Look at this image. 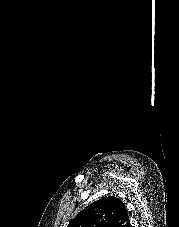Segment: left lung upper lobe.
<instances>
[{
	"label": "left lung upper lobe",
	"instance_id": "obj_1",
	"mask_svg": "<svg viewBox=\"0 0 179 227\" xmlns=\"http://www.w3.org/2000/svg\"><path fill=\"white\" fill-rule=\"evenodd\" d=\"M67 227H131V224L124 203L108 196L85 207Z\"/></svg>",
	"mask_w": 179,
	"mask_h": 227
}]
</instances>
